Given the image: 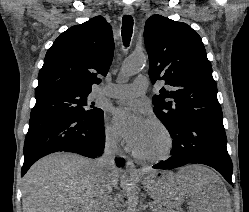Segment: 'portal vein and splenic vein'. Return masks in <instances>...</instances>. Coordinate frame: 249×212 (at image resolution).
<instances>
[{
  "label": "portal vein and splenic vein",
  "instance_id": "obj_1",
  "mask_svg": "<svg viewBox=\"0 0 249 212\" xmlns=\"http://www.w3.org/2000/svg\"><path fill=\"white\" fill-rule=\"evenodd\" d=\"M152 212H158V210H152Z\"/></svg>",
  "mask_w": 249,
  "mask_h": 212
}]
</instances>
